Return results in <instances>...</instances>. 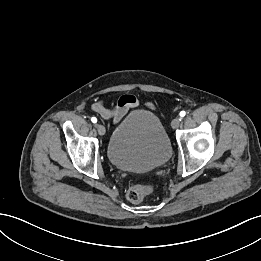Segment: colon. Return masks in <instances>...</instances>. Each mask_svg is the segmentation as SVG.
Returning a JSON list of instances; mask_svg holds the SVG:
<instances>
[{
    "mask_svg": "<svg viewBox=\"0 0 261 261\" xmlns=\"http://www.w3.org/2000/svg\"><path fill=\"white\" fill-rule=\"evenodd\" d=\"M151 191L152 187L150 185L136 184L128 189L127 198L133 203H139L142 202Z\"/></svg>",
    "mask_w": 261,
    "mask_h": 261,
    "instance_id": "5ec220e1",
    "label": "colon"
}]
</instances>
